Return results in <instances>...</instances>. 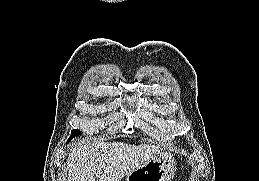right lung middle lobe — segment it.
I'll use <instances>...</instances> for the list:
<instances>
[{"label":"right lung middle lobe","mask_w":259,"mask_h":181,"mask_svg":"<svg viewBox=\"0 0 259 181\" xmlns=\"http://www.w3.org/2000/svg\"><path fill=\"white\" fill-rule=\"evenodd\" d=\"M81 134V132L79 131V130H72V132H71V136H70V138L68 139V141H70L73 137H75V136H78V135H80Z\"/></svg>","instance_id":"1"}]
</instances>
